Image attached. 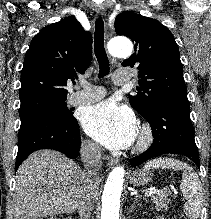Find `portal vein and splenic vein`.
Instances as JSON below:
<instances>
[{
    "label": "portal vein and splenic vein",
    "mask_w": 211,
    "mask_h": 219,
    "mask_svg": "<svg viewBox=\"0 0 211 219\" xmlns=\"http://www.w3.org/2000/svg\"><path fill=\"white\" fill-rule=\"evenodd\" d=\"M159 192V190H156V189H149L146 193H145V196H150L152 194H155Z\"/></svg>",
    "instance_id": "obj_1"
}]
</instances>
